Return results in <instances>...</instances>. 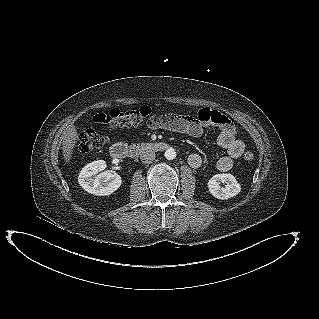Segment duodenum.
<instances>
[{"instance_id": "410a0bca", "label": "duodenum", "mask_w": 319, "mask_h": 319, "mask_svg": "<svg viewBox=\"0 0 319 319\" xmlns=\"http://www.w3.org/2000/svg\"><path fill=\"white\" fill-rule=\"evenodd\" d=\"M168 148L164 142L145 141L127 146L124 143H115L110 148V155L117 160H124L129 156H140L149 152L163 151Z\"/></svg>"}]
</instances>
